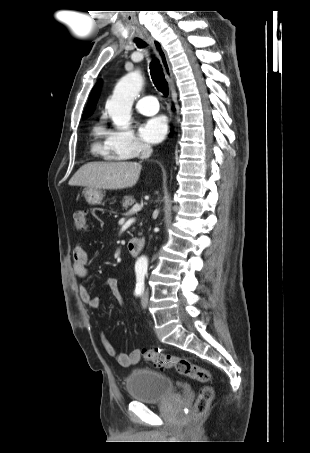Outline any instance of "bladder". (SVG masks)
I'll use <instances>...</instances> for the list:
<instances>
[{
	"instance_id": "bladder-1",
	"label": "bladder",
	"mask_w": 310,
	"mask_h": 453,
	"mask_svg": "<svg viewBox=\"0 0 310 453\" xmlns=\"http://www.w3.org/2000/svg\"><path fill=\"white\" fill-rule=\"evenodd\" d=\"M126 390L130 398L140 403L160 402L174 394L169 376L150 369H135L126 378Z\"/></svg>"
}]
</instances>
